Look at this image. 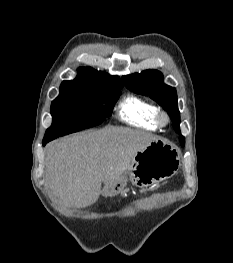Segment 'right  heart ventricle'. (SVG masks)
Returning a JSON list of instances; mask_svg holds the SVG:
<instances>
[{
  "label": "right heart ventricle",
  "instance_id": "e07e8e85",
  "mask_svg": "<svg viewBox=\"0 0 233 263\" xmlns=\"http://www.w3.org/2000/svg\"><path fill=\"white\" fill-rule=\"evenodd\" d=\"M158 109L150 101L136 95H127L119 103L117 113L121 121L134 127L156 131Z\"/></svg>",
  "mask_w": 233,
  "mask_h": 263
}]
</instances>
